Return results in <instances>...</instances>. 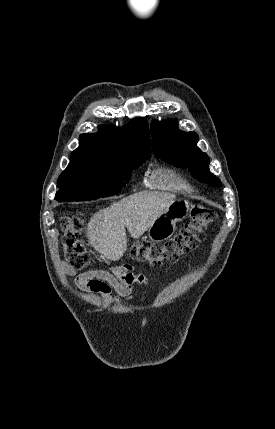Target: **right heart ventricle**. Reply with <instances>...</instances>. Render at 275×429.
<instances>
[{
    "label": "right heart ventricle",
    "mask_w": 275,
    "mask_h": 429,
    "mask_svg": "<svg viewBox=\"0 0 275 429\" xmlns=\"http://www.w3.org/2000/svg\"><path fill=\"white\" fill-rule=\"evenodd\" d=\"M149 184L153 188L175 192H189L192 190L187 180L172 170H157L153 172L150 176Z\"/></svg>",
    "instance_id": "right-heart-ventricle-1"
}]
</instances>
